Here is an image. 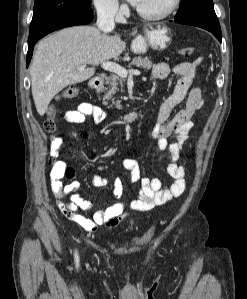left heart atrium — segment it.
Segmentation results:
<instances>
[{
  "label": "left heart atrium",
  "mask_w": 247,
  "mask_h": 299,
  "mask_svg": "<svg viewBox=\"0 0 247 299\" xmlns=\"http://www.w3.org/2000/svg\"><path fill=\"white\" fill-rule=\"evenodd\" d=\"M132 5L138 6L141 2V0H128Z\"/></svg>",
  "instance_id": "left-heart-atrium-1"
}]
</instances>
